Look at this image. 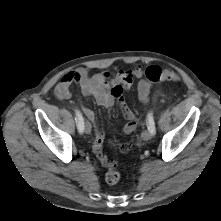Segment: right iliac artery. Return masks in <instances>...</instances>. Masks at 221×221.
<instances>
[{
  "label": "right iliac artery",
  "instance_id": "1",
  "mask_svg": "<svg viewBox=\"0 0 221 221\" xmlns=\"http://www.w3.org/2000/svg\"><path fill=\"white\" fill-rule=\"evenodd\" d=\"M76 122L79 133H82L84 130V119L78 110L76 111Z\"/></svg>",
  "mask_w": 221,
  "mask_h": 221
}]
</instances>
